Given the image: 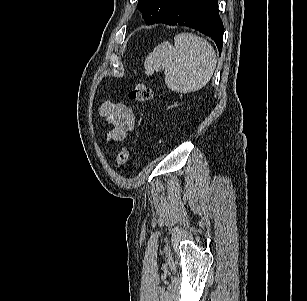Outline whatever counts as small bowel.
Returning <instances> with one entry per match:
<instances>
[{
  "label": "small bowel",
  "instance_id": "1",
  "mask_svg": "<svg viewBox=\"0 0 307 301\" xmlns=\"http://www.w3.org/2000/svg\"><path fill=\"white\" fill-rule=\"evenodd\" d=\"M100 115L112 124L113 129L106 136V143L123 140L134 128L133 110L120 102L105 101L99 108Z\"/></svg>",
  "mask_w": 307,
  "mask_h": 301
}]
</instances>
